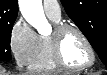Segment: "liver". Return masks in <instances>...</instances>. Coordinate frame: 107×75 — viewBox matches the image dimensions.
<instances>
[{"label": "liver", "mask_w": 107, "mask_h": 75, "mask_svg": "<svg viewBox=\"0 0 107 75\" xmlns=\"http://www.w3.org/2000/svg\"><path fill=\"white\" fill-rule=\"evenodd\" d=\"M0 75H7V74L5 72L1 71ZM18 75H33V74H31V73H21V74H18Z\"/></svg>", "instance_id": "obj_1"}]
</instances>
